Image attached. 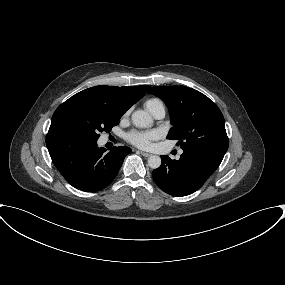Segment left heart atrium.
Instances as JSON below:
<instances>
[{"label":"left heart atrium","instance_id":"1","mask_svg":"<svg viewBox=\"0 0 285 285\" xmlns=\"http://www.w3.org/2000/svg\"><path fill=\"white\" fill-rule=\"evenodd\" d=\"M156 132H139L132 131L127 135V140L134 146L141 149H148L151 147L152 141L157 139Z\"/></svg>","mask_w":285,"mask_h":285}]
</instances>
